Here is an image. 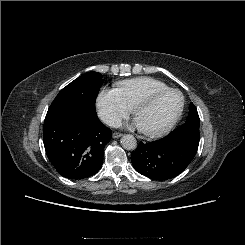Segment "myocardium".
Here are the masks:
<instances>
[{
	"mask_svg": "<svg viewBox=\"0 0 245 245\" xmlns=\"http://www.w3.org/2000/svg\"><path fill=\"white\" fill-rule=\"evenodd\" d=\"M171 92H175V93H178L180 95V98H181L180 108L178 109V111L174 115V117L162 128H160L158 130H154V131L141 130V132L145 136L150 137V138H157V137H161V136L167 134L168 132H170L173 129V127L179 121V119L182 116L183 111H184V107H185L184 95L182 94V92L180 90H178L176 88H166L163 90L154 91L152 93H149V94L139 98L131 107L132 108V114L134 117H136L137 111L140 107L148 105L149 103H151L156 98H158L164 94L171 93Z\"/></svg>",
	"mask_w": 245,
	"mask_h": 245,
	"instance_id": "1",
	"label": "myocardium"
}]
</instances>
